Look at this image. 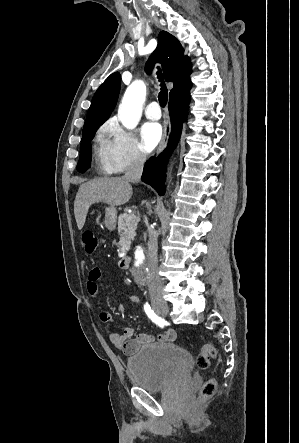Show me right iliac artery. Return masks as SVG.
<instances>
[{
    "mask_svg": "<svg viewBox=\"0 0 299 443\" xmlns=\"http://www.w3.org/2000/svg\"><path fill=\"white\" fill-rule=\"evenodd\" d=\"M144 310L147 316L159 327L163 328L166 325L164 318L158 316L150 307L148 303L144 304Z\"/></svg>",
    "mask_w": 299,
    "mask_h": 443,
    "instance_id": "1",
    "label": "right iliac artery"
}]
</instances>
